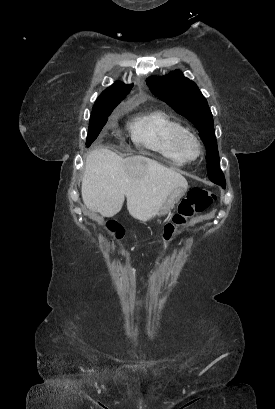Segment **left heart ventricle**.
<instances>
[{
	"label": "left heart ventricle",
	"mask_w": 275,
	"mask_h": 409,
	"mask_svg": "<svg viewBox=\"0 0 275 409\" xmlns=\"http://www.w3.org/2000/svg\"><path fill=\"white\" fill-rule=\"evenodd\" d=\"M180 153L184 157H191L195 154V147L189 140H184L180 146Z\"/></svg>",
	"instance_id": "left-heart-ventricle-1"
}]
</instances>
